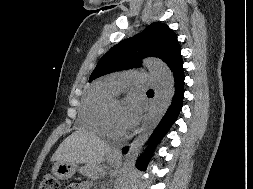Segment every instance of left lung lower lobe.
Instances as JSON below:
<instances>
[{"mask_svg": "<svg viewBox=\"0 0 253 189\" xmlns=\"http://www.w3.org/2000/svg\"><path fill=\"white\" fill-rule=\"evenodd\" d=\"M174 79H175V94L172 99V103L168 108L165 116L155 129L150 144L152 146L150 149L138 159L137 167L141 170H145L147 167L148 160L152 154L153 146L162 139V137L167 133L173 122L176 120L183 102V94H184V72H183V62L180 63L175 70L173 71ZM128 151V147L123 149V153L125 154Z\"/></svg>", "mask_w": 253, "mask_h": 189, "instance_id": "obj_1", "label": "left lung lower lobe"}]
</instances>
